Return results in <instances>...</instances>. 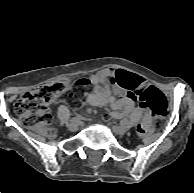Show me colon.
I'll use <instances>...</instances> for the list:
<instances>
[{
    "label": "colon",
    "mask_w": 194,
    "mask_h": 193,
    "mask_svg": "<svg viewBox=\"0 0 194 193\" xmlns=\"http://www.w3.org/2000/svg\"><path fill=\"white\" fill-rule=\"evenodd\" d=\"M116 78L120 86L131 91L135 99L141 102L150 116L159 117L166 113L168 107L166 99L157 88L149 86L140 90L136 87L137 81L125 73H118ZM87 84L86 79L62 80L29 90L15 103V113L19 116L23 126L38 130L47 138H55L57 130L51 126L50 104L57 96L74 87H83ZM140 134L148 136L149 129L141 130Z\"/></svg>",
    "instance_id": "1"
}]
</instances>
